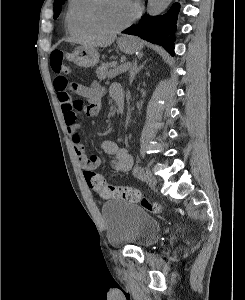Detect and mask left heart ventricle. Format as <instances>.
Returning a JSON list of instances; mask_svg holds the SVG:
<instances>
[{
    "label": "left heart ventricle",
    "instance_id": "obj_1",
    "mask_svg": "<svg viewBox=\"0 0 245 300\" xmlns=\"http://www.w3.org/2000/svg\"><path fill=\"white\" fill-rule=\"evenodd\" d=\"M134 11L130 0H98L93 19L101 27L113 29L126 23Z\"/></svg>",
    "mask_w": 245,
    "mask_h": 300
}]
</instances>
